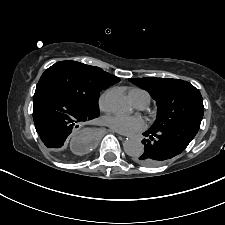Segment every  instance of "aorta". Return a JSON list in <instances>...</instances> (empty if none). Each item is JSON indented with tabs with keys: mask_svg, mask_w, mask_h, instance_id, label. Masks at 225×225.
Listing matches in <instances>:
<instances>
[{
	"mask_svg": "<svg viewBox=\"0 0 225 225\" xmlns=\"http://www.w3.org/2000/svg\"><path fill=\"white\" fill-rule=\"evenodd\" d=\"M107 107L115 113H123L131 108L130 101L121 88H112L105 95ZM129 156H138L143 152V144L137 139H128L123 144Z\"/></svg>",
	"mask_w": 225,
	"mask_h": 225,
	"instance_id": "762f6f07",
	"label": "aorta"
}]
</instances>
